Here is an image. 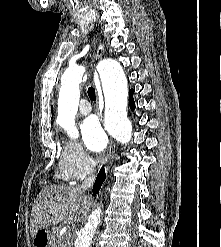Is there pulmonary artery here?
I'll return each instance as SVG.
<instances>
[{"label":"pulmonary artery","mask_w":221,"mask_h":247,"mask_svg":"<svg viewBox=\"0 0 221 247\" xmlns=\"http://www.w3.org/2000/svg\"><path fill=\"white\" fill-rule=\"evenodd\" d=\"M79 112L82 115H87L91 112V106L88 100L82 99L79 103Z\"/></svg>","instance_id":"1"}]
</instances>
